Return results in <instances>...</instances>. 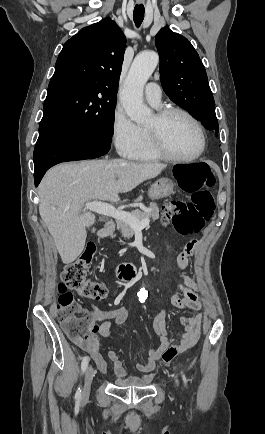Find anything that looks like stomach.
<instances>
[{
	"label": "stomach",
	"mask_w": 265,
	"mask_h": 434,
	"mask_svg": "<svg viewBox=\"0 0 265 434\" xmlns=\"http://www.w3.org/2000/svg\"><path fill=\"white\" fill-rule=\"evenodd\" d=\"M175 184L169 178H161L157 180L150 190H148V196L151 200H160V198H167L170 194H173Z\"/></svg>",
	"instance_id": "obj_1"
}]
</instances>
